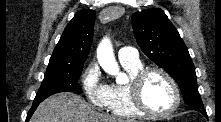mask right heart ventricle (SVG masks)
<instances>
[{
    "instance_id": "obj_1",
    "label": "right heart ventricle",
    "mask_w": 221,
    "mask_h": 122,
    "mask_svg": "<svg viewBox=\"0 0 221 122\" xmlns=\"http://www.w3.org/2000/svg\"><path fill=\"white\" fill-rule=\"evenodd\" d=\"M121 64L130 78H132L138 71L143 69L140 62L133 64L121 61ZM108 86L109 94L106 107L111 114L125 118H140L144 116V114L135 107L132 101L129 83H114Z\"/></svg>"
}]
</instances>
